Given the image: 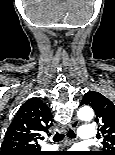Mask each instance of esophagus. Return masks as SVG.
Instances as JSON below:
<instances>
[{"label": "esophagus", "mask_w": 115, "mask_h": 155, "mask_svg": "<svg viewBox=\"0 0 115 155\" xmlns=\"http://www.w3.org/2000/svg\"><path fill=\"white\" fill-rule=\"evenodd\" d=\"M78 125H79V121H78L76 118H74V119L71 121L69 127H70V129H72V130H76L77 127H78Z\"/></svg>", "instance_id": "34e87169"}]
</instances>
